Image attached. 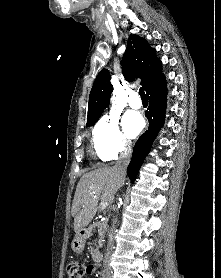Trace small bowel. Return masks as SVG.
Returning <instances> with one entry per match:
<instances>
[{"mask_svg": "<svg viewBox=\"0 0 221 278\" xmlns=\"http://www.w3.org/2000/svg\"><path fill=\"white\" fill-rule=\"evenodd\" d=\"M90 266H91V272L89 273V275H92L96 271V267L93 265Z\"/></svg>", "mask_w": 221, "mask_h": 278, "instance_id": "obj_1", "label": "small bowel"}]
</instances>
